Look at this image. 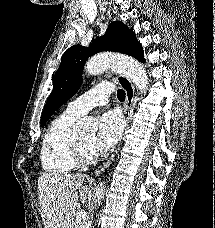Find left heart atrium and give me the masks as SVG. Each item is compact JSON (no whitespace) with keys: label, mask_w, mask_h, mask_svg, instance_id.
<instances>
[{"label":"left heart atrium","mask_w":215,"mask_h":228,"mask_svg":"<svg viewBox=\"0 0 215 228\" xmlns=\"http://www.w3.org/2000/svg\"><path fill=\"white\" fill-rule=\"evenodd\" d=\"M124 129L123 119L116 111H108L100 116L99 129L92 144L95 154L112 148L121 138Z\"/></svg>","instance_id":"obj_1"}]
</instances>
